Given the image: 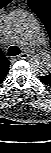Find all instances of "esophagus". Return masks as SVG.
<instances>
[{
    "label": "esophagus",
    "instance_id": "esophagus-1",
    "mask_svg": "<svg viewBox=\"0 0 51 153\" xmlns=\"http://www.w3.org/2000/svg\"><path fill=\"white\" fill-rule=\"evenodd\" d=\"M28 57H29V54H28L27 52H22V53L18 56L19 59H26V58H28Z\"/></svg>",
    "mask_w": 51,
    "mask_h": 153
}]
</instances>
